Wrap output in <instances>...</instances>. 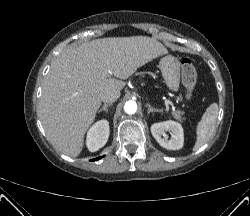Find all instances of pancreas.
<instances>
[{
	"instance_id": "1",
	"label": "pancreas",
	"mask_w": 250,
	"mask_h": 216,
	"mask_svg": "<svg viewBox=\"0 0 250 216\" xmlns=\"http://www.w3.org/2000/svg\"><path fill=\"white\" fill-rule=\"evenodd\" d=\"M182 114H183V112H181V111H174L173 113H172V115H173V117L175 118V119H177V120H182Z\"/></svg>"
}]
</instances>
